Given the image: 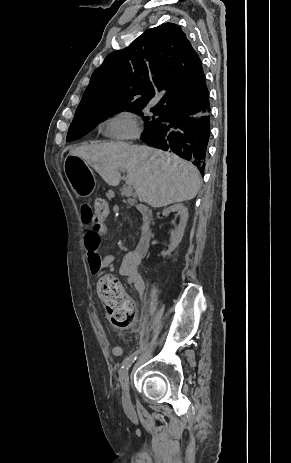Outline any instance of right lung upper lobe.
I'll list each match as a JSON object with an SVG mask.
<instances>
[{
  "mask_svg": "<svg viewBox=\"0 0 291 463\" xmlns=\"http://www.w3.org/2000/svg\"><path fill=\"white\" fill-rule=\"evenodd\" d=\"M204 78L201 60L186 34L176 24L163 23L105 58L77 110L120 101L146 105L161 91L164 96L153 109L191 108L207 94Z\"/></svg>",
  "mask_w": 291,
  "mask_h": 463,
  "instance_id": "right-lung-upper-lobe-1",
  "label": "right lung upper lobe"
}]
</instances>
